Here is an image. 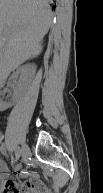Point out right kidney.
I'll use <instances>...</instances> for the list:
<instances>
[{"label": "right kidney", "instance_id": "obj_1", "mask_svg": "<svg viewBox=\"0 0 103 193\" xmlns=\"http://www.w3.org/2000/svg\"><path fill=\"white\" fill-rule=\"evenodd\" d=\"M36 70V66L33 65V64H27L26 66L22 67L20 69V72L22 74H27V73H34ZM21 85V84H20ZM11 105L10 104H6L5 106H3L2 110H5L7 109L8 107H10Z\"/></svg>", "mask_w": 103, "mask_h": 193}]
</instances>
